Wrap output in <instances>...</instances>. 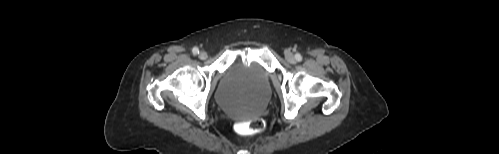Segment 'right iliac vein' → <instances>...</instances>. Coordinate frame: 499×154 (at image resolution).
Listing matches in <instances>:
<instances>
[{
  "label": "right iliac vein",
  "instance_id": "obj_1",
  "mask_svg": "<svg viewBox=\"0 0 499 154\" xmlns=\"http://www.w3.org/2000/svg\"><path fill=\"white\" fill-rule=\"evenodd\" d=\"M199 58L204 60L207 58V53L205 51H201L200 54H199Z\"/></svg>",
  "mask_w": 499,
  "mask_h": 154
}]
</instances>
